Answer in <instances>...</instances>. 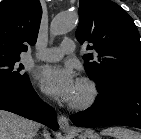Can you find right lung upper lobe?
Returning a JSON list of instances; mask_svg holds the SVG:
<instances>
[{"label":"right lung upper lobe","mask_w":141,"mask_h":139,"mask_svg":"<svg viewBox=\"0 0 141 139\" xmlns=\"http://www.w3.org/2000/svg\"><path fill=\"white\" fill-rule=\"evenodd\" d=\"M42 16L39 0H3L0 3V57H20L25 43L34 45Z\"/></svg>","instance_id":"right-lung-upper-lobe-1"}]
</instances>
